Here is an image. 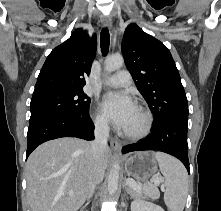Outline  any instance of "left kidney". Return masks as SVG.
I'll return each instance as SVG.
<instances>
[{"label": "left kidney", "mask_w": 221, "mask_h": 211, "mask_svg": "<svg viewBox=\"0 0 221 211\" xmlns=\"http://www.w3.org/2000/svg\"><path fill=\"white\" fill-rule=\"evenodd\" d=\"M131 211H164V209L151 202L134 200L131 202Z\"/></svg>", "instance_id": "left-kidney-1"}]
</instances>
